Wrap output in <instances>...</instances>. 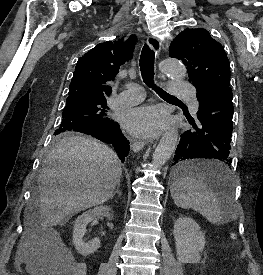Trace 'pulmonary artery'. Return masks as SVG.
Segmentation results:
<instances>
[{"mask_svg":"<svg viewBox=\"0 0 263 275\" xmlns=\"http://www.w3.org/2000/svg\"><path fill=\"white\" fill-rule=\"evenodd\" d=\"M169 90L172 94L181 96L187 100L193 113L198 111V101L196 98L195 89L186 82L172 81L169 84ZM144 98V91L138 84L129 83L119 95V103L122 105H135L141 102Z\"/></svg>","mask_w":263,"mask_h":275,"instance_id":"1","label":"pulmonary artery"}]
</instances>
